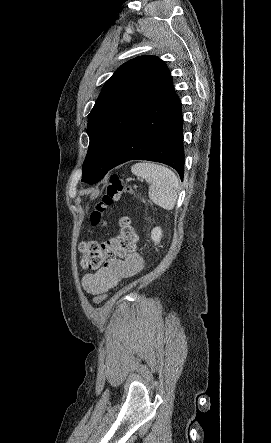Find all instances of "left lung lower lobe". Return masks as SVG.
I'll list each match as a JSON object with an SVG mask.
<instances>
[{
  "mask_svg": "<svg viewBox=\"0 0 271 443\" xmlns=\"http://www.w3.org/2000/svg\"><path fill=\"white\" fill-rule=\"evenodd\" d=\"M182 124L181 102L166 68L131 119L110 170L130 160H148L173 167L183 180Z\"/></svg>",
  "mask_w": 271,
  "mask_h": 443,
  "instance_id": "1",
  "label": "left lung lower lobe"
}]
</instances>
